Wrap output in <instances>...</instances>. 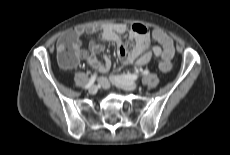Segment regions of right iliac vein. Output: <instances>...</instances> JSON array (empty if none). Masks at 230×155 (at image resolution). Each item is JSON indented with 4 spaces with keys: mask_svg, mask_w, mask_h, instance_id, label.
Instances as JSON below:
<instances>
[{
    "mask_svg": "<svg viewBox=\"0 0 230 155\" xmlns=\"http://www.w3.org/2000/svg\"><path fill=\"white\" fill-rule=\"evenodd\" d=\"M88 92L90 94H95L97 92V87L95 85L91 86L89 89H88Z\"/></svg>",
    "mask_w": 230,
    "mask_h": 155,
    "instance_id": "63e3f726",
    "label": "right iliac vein"
}]
</instances>
